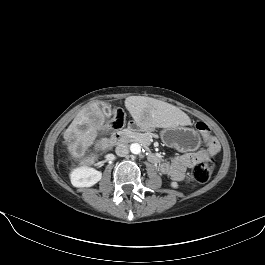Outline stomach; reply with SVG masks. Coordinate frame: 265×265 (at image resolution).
Masks as SVG:
<instances>
[{
  "mask_svg": "<svg viewBox=\"0 0 265 265\" xmlns=\"http://www.w3.org/2000/svg\"><path fill=\"white\" fill-rule=\"evenodd\" d=\"M160 136L166 145L183 152L194 151L200 144V136L192 128L182 126L164 128Z\"/></svg>",
  "mask_w": 265,
  "mask_h": 265,
  "instance_id": "1",
  "label": "stomach"
}]
</instances>
